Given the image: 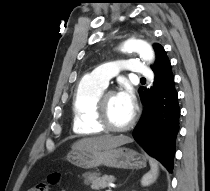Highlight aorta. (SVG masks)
Here are the masks:
<instances>
[{
  "label": "aorta",
  "mask_w": 210,
  "mask_h": 191,
  "mask_svg": "<svg viewBox=\"0 0 210 191\" xmlns=\"http://www.w3.org/2000/svg\"><path fill=\"white\" fill-rule=\"evenodd\" d=\"M121 50L123 52H137L141 58L153 62L155 59L154 51L147 42L138 39H128L124 42Z\"/></svg>",
  "instance_id": "aorta-1"
}]
</instances>
